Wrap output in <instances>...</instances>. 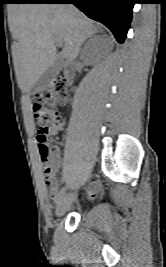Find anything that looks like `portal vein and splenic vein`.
Returning <instances> with one entry per match:
<instances>
[{
    "label": "portal vein and splenic vein",
    "mask_w": 166,
    "mask_h": 267,
    "mask_svg": "<svg viewBox=\"0 0 166 267\" xmlns=\"http://www.w3.org/2000/svg\"><path fill=\"white\" fill-rule=\"evenodd\" d=\"M55 41H56L59 45H61V44L63 43L62 38L59 37V36H56V37H55Z\"/></svg>",
    "instance_id": "portal-vein-and-splenic-vein-1"
}]
</instances>
